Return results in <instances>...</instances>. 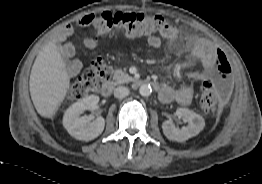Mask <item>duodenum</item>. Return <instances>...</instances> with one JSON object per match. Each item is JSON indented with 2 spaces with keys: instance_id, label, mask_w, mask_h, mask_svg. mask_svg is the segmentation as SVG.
<instances>
[{
  "instance_id": "410a0bca",
  "label": "duodenum",
  "mask_w": 262,
  "mask_h": 184,
  "mask_svg": "<svg viewBox=\"0 0 262 184\" xmlns=\"http://www.w3.org/2000/svg\"><path fill=\"white\" fill-rule=\"evenodd\" d=\"M133 85L134 87H141V86H151L153 88L159 87V84L157 82L149 79L138 80ZM114 87H115V83L113 81L110 80L105 82L100 90L101 95L104 97L110 96L112 94Z\"/></svg>"
}]
</instances>
